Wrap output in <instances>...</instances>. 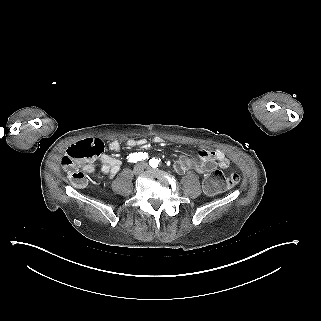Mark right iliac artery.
Listing matches in <instances>:
<instances>
[{
    "instance_id": "82829eb1",
    "label": "right iliac artery",
    "mask_w": 321,
    "mask_h": 321,
    "mask_svg": "<svg viewBox=\"0 0 321 321\" xmlns=\"http://www.w3.org/2000/svg\"><path fill=\"white\" fill-rule=\"evenodd\" d=\"M148 155L147 153L139 152V153H133L127 156L128 162L130 163H136L138 161H141L143 159H147Z\"/></svg>"
}]
</instances>
